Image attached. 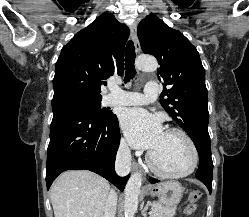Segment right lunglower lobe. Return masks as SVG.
<instances>
[{"label": "right lung lower lobe", "mask_w": 249, "mask_h": 217, "mask_svg": "<svg viewBox=\"0 0 249 217\" xmlns=\"http://www.w3.org/2000/svg\"><path fill=\"white\" fill-rule=\"evenodd\" d=\"M53 119L47 149V189L66 170H90L124 190L129 175L114 170L120 143L117 117L100 120L71 100H52Z\"/></svg>", "instance_id": "obj_1"}]
</instances>
